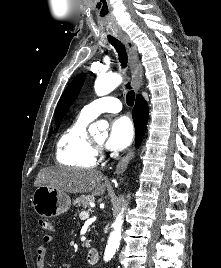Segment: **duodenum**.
I'll use <instances>...</instances> for the list:
<instances>
[{"mask_svg": "<svg viewBox=\"0 0 221 268\" xmlns=\"http://www.w3.org/2000/svg\"><path fill=\"white\" fill-rule=\"evenodd\" d=\"M99 260V251L96 248L88 250L86 255V261L89 265H95Z\"/></svg>", "mask_w": 221, "mask_h": 268, "instance_id": "1", "label": "duodenum"}]
</instances>
